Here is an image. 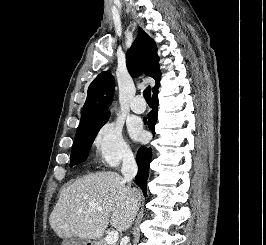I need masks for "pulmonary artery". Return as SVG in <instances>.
I'll use <instances>...</instances> for the list:
<instances>
[{"mask_svg": "<svg viewBox=\"0 0 266 245\" xmlns=\"http://www.w3.org/2000/svg\"><path fill=\"white\" fill-rule=\"evenodd\" d=\"M142 99L143 97L141 95H137L131 101L130 108L133 112L140 114L146 110V105Z\"/></svg>", "mask_w": 266, "mask_h": 245, "instance_id": "obj_1", "label": "pulmonary artery"}]
</instances>
